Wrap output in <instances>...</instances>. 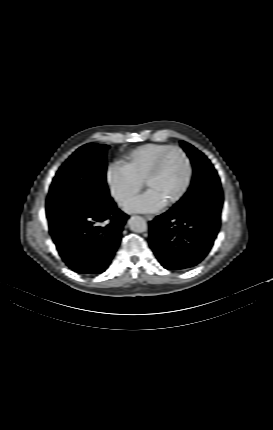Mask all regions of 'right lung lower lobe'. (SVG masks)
<instances>
[{"label":"right lung lower lobe","mask_w":273,"mask_h":430,"mask_svg":"<svg viewBox=\"0 0 273 430\" xmlns=\"http://www.w3.org/2000/svg\"><path fill=\"white\" fill-rule=\"evenodd\" d=\"M127 218L111 202L81 207L48 222L52 239L66 265L79 274L98 275L110 265Z\"/></svg>","instance_id":"98d812e1"}]
</instances>
